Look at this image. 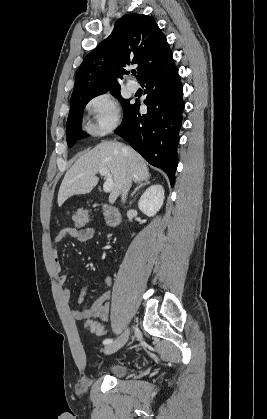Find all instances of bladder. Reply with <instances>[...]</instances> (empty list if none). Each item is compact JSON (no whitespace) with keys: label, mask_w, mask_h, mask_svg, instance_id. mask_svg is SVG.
Returning a JSON list of instances; mask_svg holds the SVG:
<instances>
[{"label":"bladder","mask_w":267,"mask_h":419,"mask_svg":"<svg viewBox=\"0 0 267 419\" xmlns=\"http://www.w3.org/2000/svg\"><path fill=\"white\" fill-rule=\"evenodd\" d=\"M98 371L109 374L114 377H122L129 371V367L125 363H113L106 366H97Z\"/></svg>","instance_id":"31cf9c89"}]
</instances>
